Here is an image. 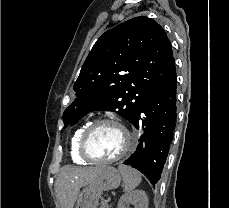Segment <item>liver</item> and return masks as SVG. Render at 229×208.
<instances>
[{
  "mask_svg": "<svg viewBox=\"0 0 229 208\" xmlns=\"http://www.w3.org/2000/svg\"><path fill=\"white\" fill-rule=\"evenodd\" d=\"M104 168L105 166H96V168L63 166L55 182V190L61 208H74L80 188L91 184Z\"/></svg>",
  "mask_w": 229,
  "mask_h": 208,
  "instance_id": "1",
  "label": "liver"
}]
</instances>
